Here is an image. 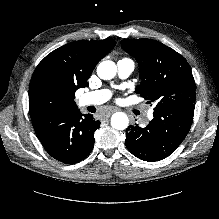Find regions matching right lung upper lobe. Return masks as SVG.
<instances>
[{
	"instance_id": "obj_1",
	"label": "right lung upper lobe",
	"mask_w": 219,
	"mask_h": 219,
	"mask_svg": "<svg viewBox=\"0 0 219 219\" xmlns=\"http://www.w3.org/2000/svg\"><path fill=\"white\" fill-rule=\"evenodd\" d=\"M115 45L112 39L74 41L48 54L30 81V115L45 112L48 103L60 106L65 112L76 110V90L88 86L95 66Z\"/></svg>"
}]
</instances>
